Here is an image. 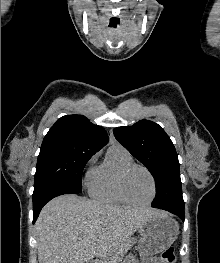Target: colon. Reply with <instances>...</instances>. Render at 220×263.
I'll return each mask as SVG.
<instances>
[{"label": "colon", "instance_id": "obj_1", "mask_svg": "<svg viewBox=\"0 0 220 263\" xmlns=\"http://www.w3.org/2000/svg\"><path fill=\"white\" fill-rule=\"evenodd\" d=\"M162 263H174L175 251L172 247L166 248L161 255Z\"/></svg>", "mask_w": 220, "mask_h": 263}]
</instances>
